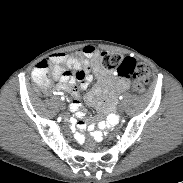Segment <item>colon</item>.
<instances>
[{"mask_svg": "<svg viewBox=\"0 0 183 183\" xmlns=\"http://www.w3.org/2000/svg\"><path fill=\"white\" fill-rule=\"evenodd\" d=\"M70 57L74 62L78 63H83L86 60L83 52H75ZM100 62L105 69L115 71L120 77L132 78L134 80L133 90L136 93L144 92L146 85L150 81L151 73L149 67L143 63H137L131 57H123L121 54L114 52H102ZM49 67V61L42 60L36 65L32 73L34 83L42 90L49 89ZM84 144L86 153L91 154L94 152L95 142L92 140L91 136H87L84 139Z\"/></svg>", "mask_w": 183, "mask_h": 183, "instance_id": "obj_1", "label": "colon"}]
</instances>
